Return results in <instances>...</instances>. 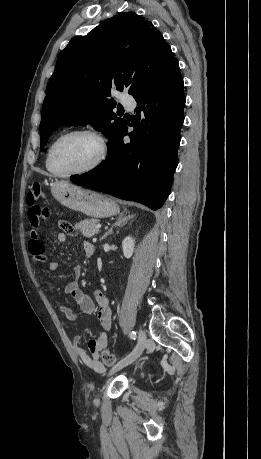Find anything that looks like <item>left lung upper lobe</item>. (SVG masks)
I'll use <instances>...</instances> for the list:
<instances>
[{
  "label": "left lung upper lobe",
  "mask_w": 261,
  "mask_h": 459,
  "mask_svg": "<svg viewBox=\"0 0 261 459\" xmlns=\"http://www.w3.org/2000/svg\"><path fill=\"white\" fill-rule=\"evenodd\" d=\"M176 61L153 24L122 12L86 36L71 39L58 56L41 112V149L63 125L90 123L113 143L125 123L113 112L112 88L137 96Z\"/></svg>",
  "instance_id": "obj_1"
}]
</instances>
